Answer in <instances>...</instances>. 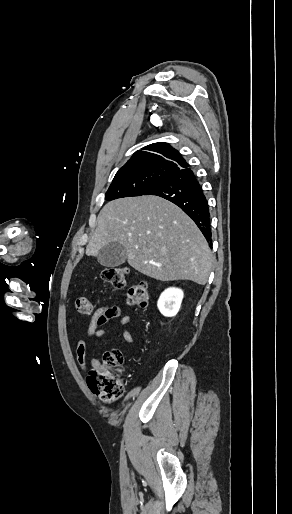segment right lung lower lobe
I'll return each mask as SVG.
<instances>
[{
    "label": "right lung lower lobe",
    "instance_id": "right-lung-lower-lobe-1",
    "mask_svg": "<svg viewBox=\"0 0 292 514\" xmlns=\"http://www.w3.org/2000/svg\"><path fill=\"white\" fill-rule=\"evenodd\" d=\"M143 195L160 196L179 206L196 223L206 240L211 242L208 202L190 168L170 175Z\"/></svg>",
    "mask_w": 292,
    "mask_h": 514
}]
</instances>
